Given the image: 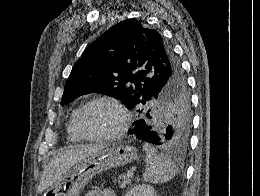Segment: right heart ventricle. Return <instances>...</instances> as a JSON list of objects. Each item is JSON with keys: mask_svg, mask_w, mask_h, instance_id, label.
Listing matches in <instances>:
<instances>
[{"mask_svg": "<svg viewBox=\"0 0 260 196\" xmlns=\"http://www.w3.org/2000/svg\"><path fill=\"white\" fill-rule=\"evenodd\" d=\"M77 110L78 109L73 110L69 119V123L67 125L68 139L73 143H78L83 140V138L81 137V135L79 134L78 130L75 127L74 120H75V115Z\"/></svg>", "mask_w": 260, "mask_h": 196, "instance_id": "right-heart-ventricle-1", "label": "right heart ventricle"}]
</instances>
